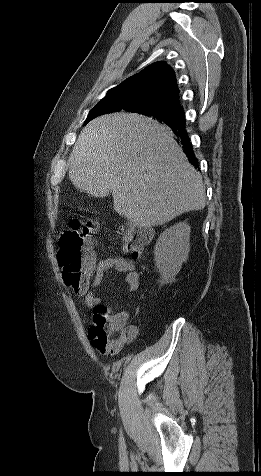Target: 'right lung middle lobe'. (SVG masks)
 <instances>
[{"mask_svg": "<svg viewBox=\"0 0 261 476\" xmlns=\"http://www.w3.org/2000/svg\"><path fill=\"white\" fill-rule=\"evenodd\" d=\"M118 94L104 97L90 112L84 122L87 124L93 118L110 112L127 111L151 116L165 124L177 123L184 117L183 111L156 101H147L132 104H122Z\"/></svg>", "mask_w": 261, "mask_h": 476, "instance_id": "obj_1", "label": "right lung middle lobe"}]
</instances>
